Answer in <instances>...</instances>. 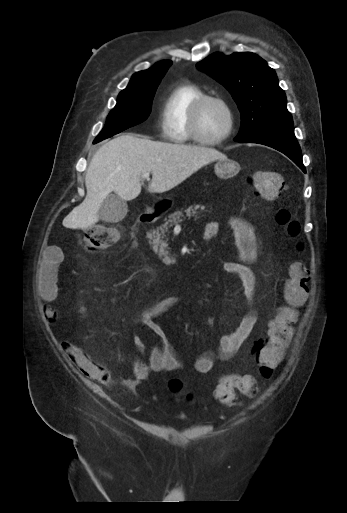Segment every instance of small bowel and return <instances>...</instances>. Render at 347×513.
I'll use <instances>...</instances> for the list:
<instances>
[{
  "mask_svg": "<svg viewBox=\"0 0 347 513\" xmlns=\"http://www.w3.org/2000/svg\"><path fill=\"white\" fill-rule=\"evenodd\" d=\"M230 227L239 241L246 245L245 263L227 262L225 270L234 275L241 283L249 301L247 312L242 316L238 325L229 333L220 338L217 350H205L199 353L194 360V369L198 373H208L212 370L216 360H229L240 352L246 345L252 330L257 322V312L252 302L256 289V277L251 266L258 262L261 256L260 241L255 235L254 226L249 221L232 217L229 221ZM220 226L215 221H209L204 227L205 237L214 238L219 233ZM61 262L58 248L52 249L39 268L37 276V289L42 299L48 304L45 309V316L49 321L56 319L58 311L50 304L58 299L57 272ZM183 302L182 297L172 296L160 300L147 309L138 320L150 329L160 340V345L151 348L149 360L145 362L138 357H126L118 350L112 352L114 358L122 364H127L132 370L133 377L125 382L129 388L135 387L140 381L146 378L150 371L153 372H174L182 368V363L177 357L176 351L171 344L164 328L156 321V318L170 311ZM80 313H85L87 307L84 303L77 305ZM133 344L139 353L146 349L141 336L133 339ZM258 347V343L252 346ZM64 349L75 361L77 367L92 379L99 380L104 377L101 366L88 360L75 346L64 343Z\"/></svg>",
  "mask_w": 347,
  "mask_h": 513,
  "instance_id": "1",
  "label": "small bowel"
}]
</instances>
